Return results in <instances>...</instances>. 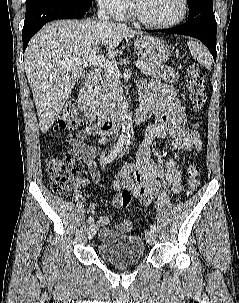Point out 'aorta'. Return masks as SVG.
<instances>
[{
    "label": "aorta",
    "instance_id": "762f6f07",
    "mask_svg": "<svg viewBox=\"0 0 239 303\" xmlns=\"http://www.w3.org/2000/svg\"><path fill=\"white\" fill-rule=\"evenodd\" d=\"M131 129H132V117H131V113H128L122 117V132L120 135V139L125 142H129L131 138L130 135Z\"/></svg>",
    "mask_w": 239,
    "mask_h": 303
}]
</instances>
